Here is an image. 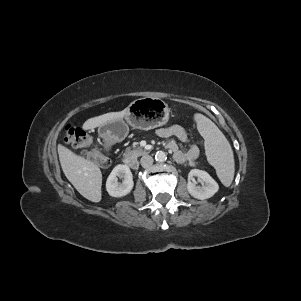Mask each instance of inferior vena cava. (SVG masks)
I'll use <instances>...</instances> for the list:
<instances>
[{"label": "inferior vena cava", "mask_w": 301, "mask_h": 301, "mask_svg": "<svg viewBox=\"0 0 301 301\" xmlns=\"http://www.w3.org/2000/svg\"><path fill=\"white\" fill-rule=\"evenodd\" d=\"M141 165L144 167V168H147V167H150L152 164H153V158L152 156L150 155H144L141 160Z\"/></svg>", "instance_id": "602c4592"}]
</instances>
